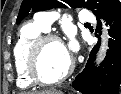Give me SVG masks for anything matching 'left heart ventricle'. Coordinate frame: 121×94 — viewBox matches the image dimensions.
I'll return each mask as SVG.
<instances>
[{
  "instance_id": "obj_1",
  "label": "left heart ventricle",
  "mask_w": 121,
  "mask_h": 94,
  "mask_svg": "<svg viewBox=\"0 0 121 94\" xmlns=\"http://www.w3.org/2000/svg\"><path fill=\"white\" fill-rule=\"evenodd\" d=\"M71 55L65 46L57 41H49L43 45L38 60V68L45 80L58 78L68 67Z\"/></svg>"
}]
</instances>
